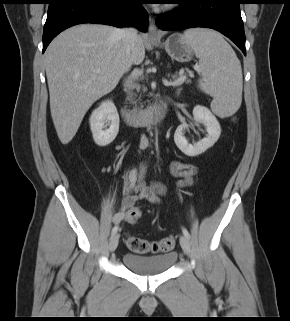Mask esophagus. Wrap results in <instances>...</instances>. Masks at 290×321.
Wrapping results in <instances>:
<instances>
[{"label": "esophagus", "mask_w": 290, "mask_h": 321, "mask_svg": "<svg viewBox=\"0 0 290 321\" xmlns=\"http://www.w3.org/2000/svg\"><path fill=\"white\" fill-rule=\"evenodd\" d=\"M160 35H161V33L158 30L154 19L150 17L149 30L146 35V38L149 40H156L160 37Z\"/></svg>", "instance_id": "obj_1"}]
</instances>
